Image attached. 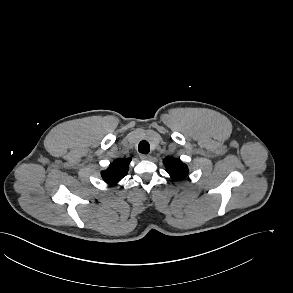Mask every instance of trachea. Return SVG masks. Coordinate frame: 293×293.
<instances>
[{
  "label": "trachea",
  "instance_id": "trachea-1",
  "mask_svg": "<svg viewBox=\"0 0 293 293\" xmlns=\"http://www.w3.org/2000/svg\"><path fill=\"white\" fill-rule=\"evenodd\" d=\"M138 151L142 154H148L150 151V145L147 141H141L138 145Z\"/></svg>",
  "mask_w": 293,
  "mask_h": 293
}]
</instances>
